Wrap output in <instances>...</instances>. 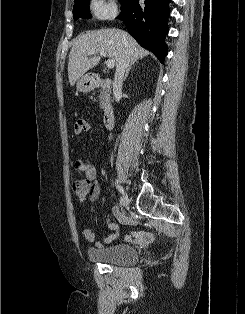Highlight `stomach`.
<instances>
[{
    "mask_svg": "<svg viewBox=\"0 0 245 314\" xmlns=\"http://www.w3.org/2000/svg\"><path fill=\"white\" fill-rule=\"evenodd\" d=\"M77 90L83 93H87L94 88V80L89 75H83L76 84Z\"/></svg>",
    "mask_w": 245,
    "mask_h": 314,
    "instance_id": "stomach-1",
    "label": "stomach"
}]
</instances>
